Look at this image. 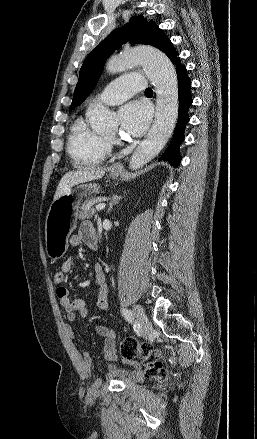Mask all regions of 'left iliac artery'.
<instances>
[{
    "label": "left iliac artery",
    "mask_w": 257,
    "mask_h": 439,
    "mask_svg": "<svg viewBox=\"0 0 257 439\" xmlns=\"http://www.w3.org/2000/svg\"><path fill=\"white\" fill-rule=\"evenodd\" d=\"M121 312H122L123 316L125 317V319H126L128 322H132L133 315H132V312H131V311H129V310L126 309V308H123Z\"/></svg>",
    "instance_id": "obj_1"
}]
</instances>
